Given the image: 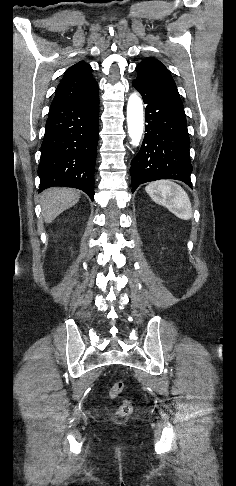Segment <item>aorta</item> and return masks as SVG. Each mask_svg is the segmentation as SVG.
<instances>
[{"label":"aorta","instance_id":"1","mask_svg":"<svg viewBox=\"0 0 236 486\" xmlns=\"http://www.w3.org/2000/svg\"><path fill=\"white\" fill-rule=\"evenodd\" d=\"M127 126L131 144L138 146L144 130V112L141 98L133 93L127 104Z\"/></svg>","mask_w":236,"mask_h":486}]
</instances>
